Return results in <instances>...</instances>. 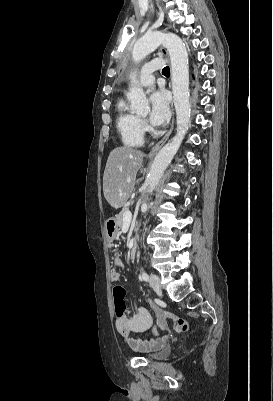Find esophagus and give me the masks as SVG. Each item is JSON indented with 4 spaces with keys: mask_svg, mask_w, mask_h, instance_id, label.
Instances as JSON below:
<instances>
[{
    "mask_svg": "<svg viewBox=\"0 0 273 401\" xmlns=\"http://www.w3.org/2000/svg\"><path fill=\"white\" fill-rule=\"evenodd\" d=\"M160 52L166 59H168V53L164 47L160 48ZM174 121H175V118H174V110H173V118H172V123H171L169 131L158 143H156L155 146H153L152 150L147 155L148 158L152 159L156 155V153L160 150V148L164 145V143L168 140V138L170 137V135L173 131Z\"/></svg>",
    "mask_w": 273,
    "mask_h": 401,
    "instance_id": "obj_1",
    "label": "esophagus"
}]
</instances>
